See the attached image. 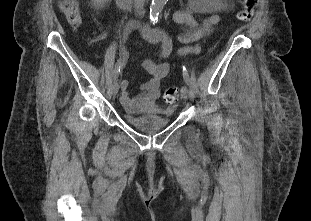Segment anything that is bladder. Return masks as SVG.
I'll list each match as a JSON object with an SVG mask.
<instances>
[{"label": "bladder", "instance_id": "31cf9c89", "mask_svg": "<svg viewBox=\"0 0 311 221\" xmlns=\"http://www.w3.org/2000/svg\"><path fill=\"white\" fill-rule=\"evenodd\" d=\"M171 112V108H153V110H144V113H139V110H135L134 113L126 108L121 109L125 123L134 126L138 132L146 135H154L171 125L172 118L163 117V115H171Z\"/></svg>", "mask_w": 311, "mask_h": 221}]
</instances>
